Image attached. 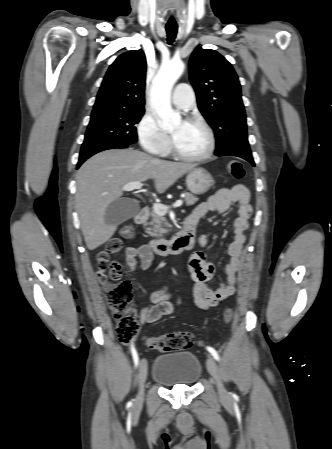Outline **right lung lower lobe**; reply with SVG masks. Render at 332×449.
Returning a JSON list of instances; mask_svg holds the SVG:
<instances>
[{"instance_id":"1","label":"right lung lower lobe","mask_w":332,"mask_h":449,"mask_svg":"<svg viewBox=\"0 0 332 449\" xmlns=\"http://www.w3.org/2000/svg\"><path fill=\"white\" fill-rule=\"evenodd\" d=\"M129 145L127 144H123V143H107V144H102V145H98L95 146L93 148L90 149H86L81 151L80 153V157H79V161L77 164V168L80 167V165L89 157H91L92 155L104 151V150H108V149H114V148H127Z\"/></svg>"}]
</instances>
